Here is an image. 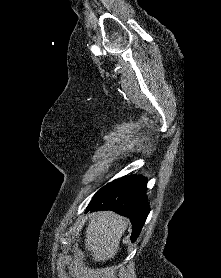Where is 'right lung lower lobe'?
Wrapping results in <instances>:
<instances>
[{
  "label": "right lung lower lobe",
  "instance_id": "obj_1",
  "mask_svg": "<svg viewBox=\"0 0 221 278\" xmlns=\"http://www.w3.org/2000/svg\"><path fill=\"white\" fill-rule=\"evenodd\" d=\"M147 178L124 176L101 188L93 197L86 212L112 210L126 216L132 223L131 240L135 241L149 214L146 197Z\"/></svg>",
  "mask_w": 221,
  "mask_h": 278
}]
</instances>
